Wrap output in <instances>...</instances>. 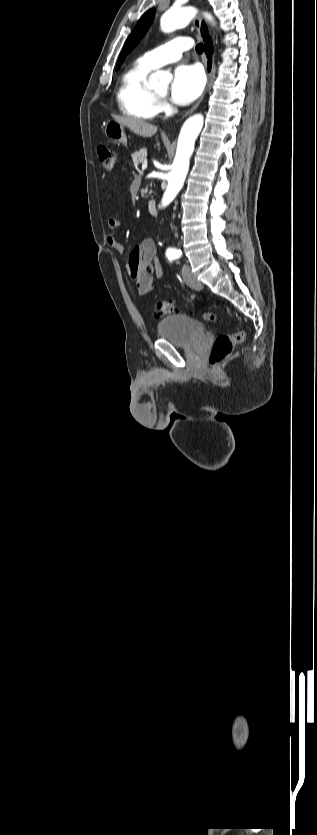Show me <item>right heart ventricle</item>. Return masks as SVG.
Listing matches in <instances>:
<instances>
[{
  "instance_id": "1",
  "label": "right heart ventricle",
  "mask_w": 317,
  "mask_h": 835,
  "mask_svg": "<svg viewBox=\"0 0 317 835\" xmlns=\"http://www.w3.org/2000/svg\"><path fill=\"white\" fill-rule=\"evenodd\" d=\"M152 69L138 59L122 75L116 97L123 114L149 120L159 113V98L147 85Z\"/></svg>"
}]
</instances>
